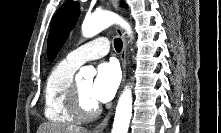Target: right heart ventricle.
<instances>
[{"mask_svg":"<svg viewBox=\"0 0 221 133\" xmlns=\"http://www.w3.org/2000/svg\"><path fill=\"white\" fill-rule=\"evenodd\" d=\"M79 66L62 60L50 71L44 86V115L57 124H73L76 121L68 106V93Z\"/></svg>","mask_w":221,"mask_h":133,"instance_id":"1","label":"right heart ventricle"}]
</instances>
